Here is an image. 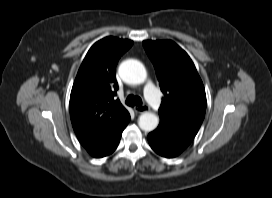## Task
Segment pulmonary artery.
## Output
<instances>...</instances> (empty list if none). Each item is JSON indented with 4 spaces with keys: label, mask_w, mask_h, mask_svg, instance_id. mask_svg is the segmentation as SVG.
Instances as JSON below:
<instances>
[{
    "label": "pulmonary artery",
    "mask_w": 272,
    "mask_h": 198,
    "mask_svg": "<svg viewBox=\"0 0 272 198\" xmlns=\"http://www.w3.org/2000/svg\"><path fill=\"white\" fill-rule=\"evenodd\" d=\"M145 96L152 107L155 109H159L161 107V100L159 98L158 91L152 84H148L146 86Z\"/></svg>",
    "instance_id": "pulmonary-artery-1"
}]
</instances>
